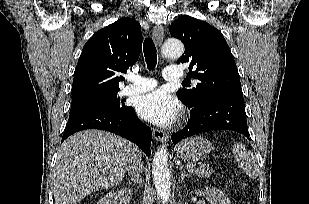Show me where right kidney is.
<instances>
[{"instance_id": "ca27d5eb", "label": "right kidney", "mask_w": 309, "mask_h": 204, "mask_svg": "<svg viewBox=\"0 0 309 204\" xmlns=\"http://www.w3.org/2000/svg\"><path fill=\"white\" fill-rule=\"evenodd\" d=\"M131 198L132 192L130 189L125 188L118 192H110L106 194L97 202V204H118V200H120V204H129Z\"/></svg>"}]
</instances>
